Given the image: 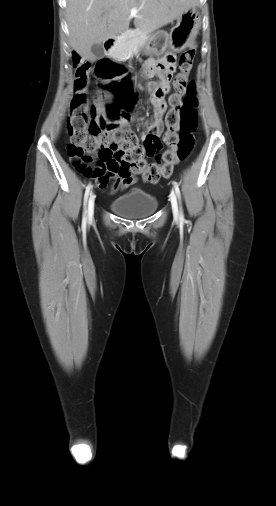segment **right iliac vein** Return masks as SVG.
Listing matches in <instances>:
<instances>
[{
    "instance_id": "obj_1",
    "label": "right iliac vein",
    "mask_w": 276,
    "mask_h": 506,
    "mask_svg": "<svg viewBox=\"0 0 276 506\" xmlns=\"http://www.w3.org/2000/svg\"><path fill=\"white\" fill-rule=\"evenodd\" d=\"M94 202H95V196L93 193H91L89 201H88V218L91 220L94 215Z\"/></svg>"
}]
</instances>
